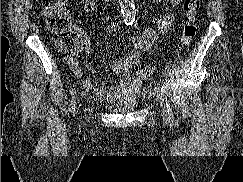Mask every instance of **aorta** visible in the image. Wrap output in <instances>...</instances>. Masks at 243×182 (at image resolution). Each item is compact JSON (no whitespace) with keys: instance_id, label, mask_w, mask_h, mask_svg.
<instances>
[{"instance_id":"1","label":"aorta","mask_w":243,"mask_h":182,"mask_svg":"<svg viewBox=\"0 0 243 182\" xmlns=\"http://www.w3.org/2000/svg\"><path fill=\"white\" fill-rule=\"evenodd\" d=\"M121 12L125 21H132L135 19V5L134 0H119Z\"/></svg>"}]
</instances>
